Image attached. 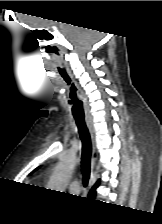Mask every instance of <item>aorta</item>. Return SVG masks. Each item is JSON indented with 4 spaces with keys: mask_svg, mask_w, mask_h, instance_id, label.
I'll return each mask as SVG.
<instances>
[{
    "mask_svg": "<svg viewBox=\"0 0 162 224\" xmlns=\"http://www.w3.org/2000/svg\"><path fill=\"white\" fill-rule=\"evenodd\" d=\"M75 165L76 158L73 156L62 159L54 169L50 181V187L55 189L56 191L63 190L64 183L71 176Z\"/></svg>",
    "mask_w": 162,
    "mask_h": 224,
    "instance_id": "aorta-1",
    "label": "aorta"
}]
</instances>
